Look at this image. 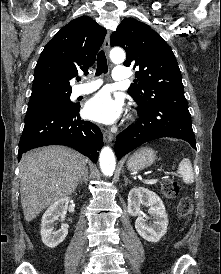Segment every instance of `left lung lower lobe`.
<instances>
[{"instance_id": "obj_1", "label": "left lung lower lobe", "mask_w": 221, "mask_h": 274, "mask_svg": "<svg viewBox=\"0 0 221 274\" xmlns=\"http://www.w3.org/2000/svg\"><path fill=\"white\" fill-rule=\"evenodd\" d=\"M138 115L136 123L130 125L116 137L117 159L145 142L162 137L183 139L196 149L186 99L173 103L139 107Z\"/></svg>"}]
</instances>
